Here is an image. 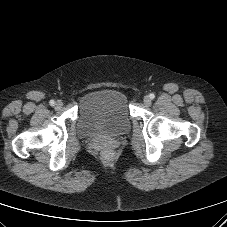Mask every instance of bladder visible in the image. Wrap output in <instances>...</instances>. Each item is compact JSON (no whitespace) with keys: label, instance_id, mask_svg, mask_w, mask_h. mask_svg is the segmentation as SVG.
Returning <instances> with one entry per match:
<instances>
[{"label":"bladder","instance_id":"obj_1","mask_svg":"<svg viewBox=\"0 0 227 227\" xmlns=\"http://www.w3.org/2000/svg\"><path fill=\"white\" fill-rule=\"evenodd\" d=\"M76 123L81 137L113 138L126 134L131 125L126 96L114 88L88 92L80 101Z\"/></svg>","mask_w":227,"mask_h":227}]
</instances>
